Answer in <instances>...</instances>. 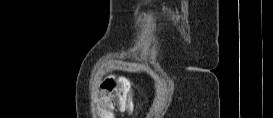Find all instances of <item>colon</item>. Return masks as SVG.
<instances>
[{
	"label": "colon",
	"mask_w": 273,
	"mask_h": 118,
	"mask_svg": "<svg viewBox=\"0 0 273 118\" xmlns=\"http://www.w3.org/2000/svg\"><path fill=\"white\" fill-rule=\"evenodd\" d=\"M102 101L99 114L104 118H112V110L117 107L121 111H132V92L126 79L108 77L102 85Z\"/></svg>",
	"instance_id": "colon-1"
}]
</instances>
